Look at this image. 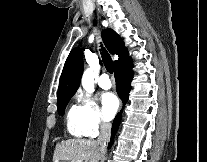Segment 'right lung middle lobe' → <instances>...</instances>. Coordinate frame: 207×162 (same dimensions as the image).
<instances>
[{"label": "right lung middle lobe", "instance_id": "obj_1", "mask_svg": "<svg viewBox=\"0 0 207 162\" xmlns=\"http://www.w3.org/2000/svg\"><path fill=\"white\" fill-rule=\"evenodd\" d=\"M71 97L72 96L58 99V113L60 115H63L64 114L65 107L68 104V102H69V100H70Z\"/></svg>", "mask_w": 207, "mask_h": 162}]
</instances>
